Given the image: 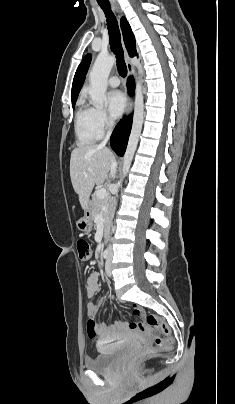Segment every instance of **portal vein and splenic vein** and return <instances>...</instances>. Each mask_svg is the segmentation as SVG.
Masks as SVG:
<instances>
[{
	"label": "portal vein and splenic vein",
	"mask_w": 235,
	"mask_h": 404,
	"mask_svg": "<svg viewBox=\"0 0 235 404\" xmlns=\"http://www.w3.org/2000/svg\"><path fill=\"white\" fill-rule=\"evenodd\" d=\"M96 196H97L99 199H104V198L107 196L106 189H104V188L98 189V190L96 191Z\"/></svg>",
	"instance_id": "portal-vein-and-splenic-vein-1"
}]
</instances>
